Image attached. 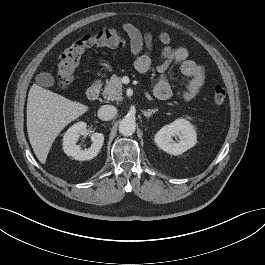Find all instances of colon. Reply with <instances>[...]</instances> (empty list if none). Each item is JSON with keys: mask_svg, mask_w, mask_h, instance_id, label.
I'll return each instance as SVG.
<instances>
[{"mask_svg": "<svg viewBox=\"0 0 265 265\" xmlns=\"http://www.w3.org/2000/svg\"><path fill=\"white\" fill-rule=\"evenodd\" d=\"M124 43V36L114 30H102L79 38L67 47L58 58L56 65L57 84L65 88L73 82L81 58L88 49L93 47L114 48L122 46ZM225 100V89L219 84L215 85L213 89V101L215 105L221 106Z\"/></svg>", "mask_w": 265, "mask_h": 265, "instance_id": "colon-1", "label": "colon"}]
</instances>
